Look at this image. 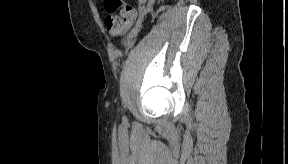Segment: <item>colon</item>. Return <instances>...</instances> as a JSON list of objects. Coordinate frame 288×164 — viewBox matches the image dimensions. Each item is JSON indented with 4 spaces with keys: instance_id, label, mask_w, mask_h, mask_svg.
<instances>
[{
    "instance_id": "1",
    "label": "colon",
    "mask_w": 288,
    "mask_h": 164,
    "mask_svg": "<svg viewBox=\"0 0 288 164\" xmlns=\"http://www.w3.org/2000/svg\"><path fill=\"white\" fill-rule=\"evenodd\" d=\"M107 5L113 14L104 20L106 32L111 37H122L130 29L137 15L136 9L119 0L108 1Z\"/></svg>"
}]
</instances>
